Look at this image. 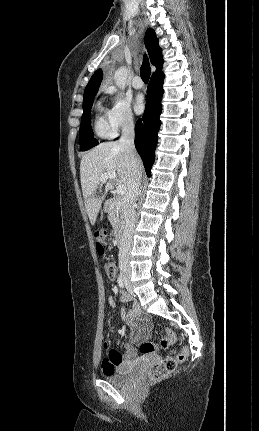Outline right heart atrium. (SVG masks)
Instances as JSON below:
<instances>
[{
	"instance_id": "right-heart-atrium-1",
	"label": "right heart atrium",
	"mask_w": 259,
	"mask_h": 431,
	"mask_svg": "<svg viewBox=\"0 0 259 431\" xmlns=\"http://www.w3.org/2000/svg\"><path fill=\"white\" fill-rule=\"evenodd\" d=\"M108 93L113 94L111 107L107 110L106 117L108 124L114 134L124 128L134 125L135 118L130 104L122 97L115 95L113 89L106 88Z\"/></svg>"
}]
</instances>
